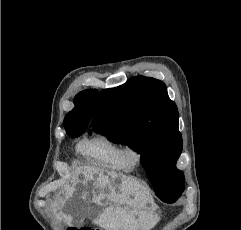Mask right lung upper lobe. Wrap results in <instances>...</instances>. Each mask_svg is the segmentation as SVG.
<instances>
[{"instance_id": "1", "label": "right lung upper lobe", "mask_w": 241, "mask_h": 230, "mask_svg": "<svg viewBox=\"0 0 241 230\" xmlns=\"http://www.w3.org/2000/svg\"><path fill=\"white\" fill-rule=\"evenodd\" d=\"M98 91L88 89L78 93L74 99L75 108L64 118L63 125L66 132L87 128L91 119L95 97Z\"/></svg>"}]
</instances>
